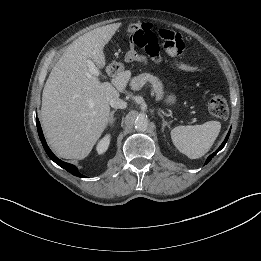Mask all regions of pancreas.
<instances>
[{
	"label": "pancreas",
	"instance_id": "pancreas-1",
	"mask_svg": "<svg viewBox=\"0 0 261 261\" xmlns=\"http://www.w3.org/2000/svg\"><path fill=\"white\" fill-rule=\"evenodd\" d=\"M147 82L151 84L152 93L155 94L156 99H162L164 94L162 83L159 81L157 77L149 73H143L134 77L131 80L130 86L133 90H139Z\"/></svg>",
	"mask_w": 261,
	"mask_h": 261
}]
</instances>
